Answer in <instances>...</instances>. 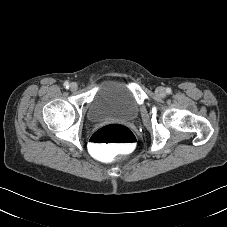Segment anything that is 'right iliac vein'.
Returning a JSON list of instances; mask_svg holds the SVG:
<instances>
[{
  "label": "right iliac vein",
  "instance_id": "right-iliac-vein-1",
  "mask_svg": "<svg viewBox=\"0 0 227 227\" xmlns=\"http://www.w3.org/2000/svg\"><path fill=\"white\" fill-rule=\"evenodd\" d=\"M77 88H78V85L75 82H73V83L70 84V90L71 91H76Z\"/></svg>",
  "mask_w": 227,
  "mask_h": 227
}]
</instances>
